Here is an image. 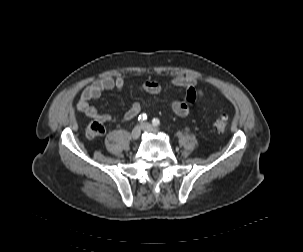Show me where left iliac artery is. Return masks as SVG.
<instances>
[{
	"instance_id": "44dca946",
	"label": "left iliac artery",
	"mask_w": 303,
	"mask_h": 252,
	"mask_svg": "<svg viewBox=\"0 0 303 252\" xmlns=\"http://www.w3.org/2000/svg\"><path fill=\"white\" fill-rule=\"evenodd\" d=\"M152 124H153L154 126H159V125H160V120H159L158 118H154V119L152 120Z\"/></svg>"
}]
</instances>
